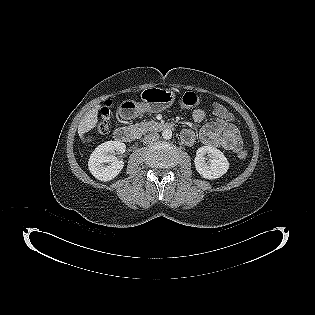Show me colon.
I'll list each match as a JSON object with an SVG mask.
<instances>
[{
	"mask_svg": "<svg viewBox=\"0 0 315 315\" xmlns=\"http://www.w3.org/2000/svg\"><path fill=\"white\" fill-rule=\"evenodd\" d=\"M200 103L199 96L194 92L185 93L179 100V105L183 108L195 107ZM112 102H106L104 107L101 109V116L97 126V132L99 134H105L108 132L110 127V118L112 113ZM241 160L246 161L249 159L250 154L246 150H239L237 152Z\"/></svg>",
	"mask_w": 315,
	"mask_h": 315,
	"instance_id": "5ec220e1",
	"label": "colon"
}]
</instances>
